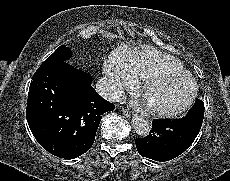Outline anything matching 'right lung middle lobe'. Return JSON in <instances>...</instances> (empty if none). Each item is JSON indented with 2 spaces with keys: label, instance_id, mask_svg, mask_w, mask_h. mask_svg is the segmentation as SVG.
<instances>
[{
  "label": "right lung middle lobe",
  "instance_id": "dd1d6c3e",
  "mask_svg": "<svg viewBox=\"0 0 230 181\" xmlns=\"http://www.w3.org/2000/svg\"><path fill=\"white\" fill-rule=\"evenodd\" d=\"M71 57V51L65 45L60 46L41 66L52 65L60 61H66Z\"/></svg>",
  "mask_w": 230,
  "mask_h": 181
}]
</instances>
